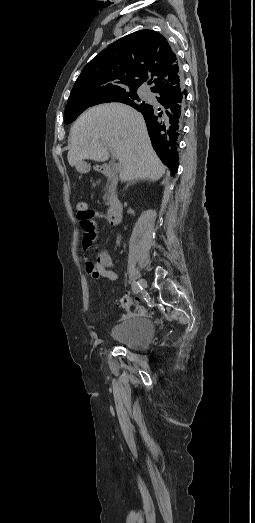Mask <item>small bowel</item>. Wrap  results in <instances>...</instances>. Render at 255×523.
<instances>
[{
  "mask_svg": "<svg viewBox=\"0 0 255 523\" xmlns=\"http://www.w3.org/2000/svg\"><path fill=\"white\" fill-rule=\"evenodd\" d=\"M104 215L100 212H91V219L88 222H80L83 237V260L87 272L93 277H103L110 281L118 279L117 273L113 270L115 263L107 251L99 250L95 260L90 255V248L97 241L98 231L95 219H102Z\"/></svg>",
  "mask_w": 255,
  "mask_h": 523,
  "instance_id": "small-bowel-1",
  "label": "small bowel"
}]
</instances>
